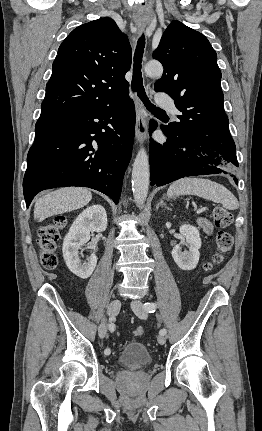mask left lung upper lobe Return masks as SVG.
<instances>
[{"label": "left lung upper lobe", "mask_w": 262, "mask_h": 431, "mask_svg": "<svg viewBox=\"0 0 262 431\" xmlns=\"http://www.w3.org/2000/svg\"><path fill=\"white\" fill-rule=\"evenodd\" d=\"M164 73L155 83L157 92L168 93L182 112L168 130L188 140L220 145L230 136L224 112L221 72L217 54L208 39L179 21L164 32L153 54Z\"/></svg>", "instance_id": "1"}]
</instances>
